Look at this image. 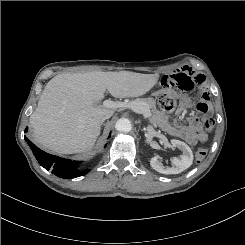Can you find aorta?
Returning <instances> with one entry per match:
<instances>
[{"label": "aorta", "instance_id": "aorta-1", "mask_svg": "<svg viewBox=\"0 0 245 245\" xmlns=\"http://www.w3.org/2000/svg\"><path fill=\"white\" fill-rule=\"evenodd\" d=\"M115 128L119 132H129L132 129V125L128 119L121 118L116 122Z\"/></svg>", "mask_w": 245, "mask_h": 245}]
</instances>
